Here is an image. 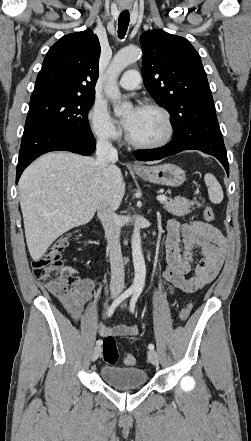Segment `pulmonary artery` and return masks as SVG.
I'll return each instance as SVG.
<instances>
[{
    "label": "pulmonary artery",
    "instance_id": "e3ab8cb5",
    "mask_svg": "<svg viewBox=\"0 0 251 441\" xmlns=\"http://www.w3.org/2000/svg\"><path fill=\"white\" fill-rule=\"evenodd\" d=\"M140 81V74L136 70H129L123 74L119 85L125 90H134L139 86Z\"/></svg>",
    "mask_w": 251,
    "mask_h": 441
}]
</instances>
